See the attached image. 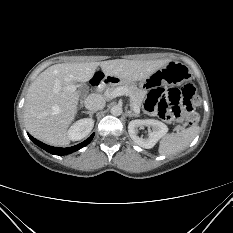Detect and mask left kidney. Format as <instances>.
<instances>
[{
    "instance_id": "1",
    "label": "left kidney",
    "mask_w": 233,
    "mask_h": 233,
    "mask_svg": "<svg viewBox=\"0 0 233 233\" xmlns=\"http://www.w3.org/2000/svg\"><path fill=\"white\" fill-rule=\"evenodd\" d=\"M148 126L152 127V131L149 133L148 138L143 139L137 135L139 127ZM168 132L167 126L161 121L154 119L145 120H132L128 124V133L131 139L139 146L150 149Z\"/></svg>"
}]
</instances>
